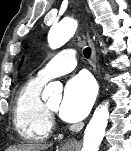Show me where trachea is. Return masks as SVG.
Here are the masks:
<instances>
[{"instance_id": "trachea-1", "label": "trachea", "mask_w": 131, "mask_h": 151, "mask_svg": "<svg viewBox=\"0 0 131 151\" xmlns=\"http://www.w3.org/2000/svg\"><path fill=\"white\" fill-rule=\"evenodd\" d=\"M83 55H84L85 58L89 59L90 56H91V48L86 47V48L83 50Z\"/></svg>"}]
</instances>
